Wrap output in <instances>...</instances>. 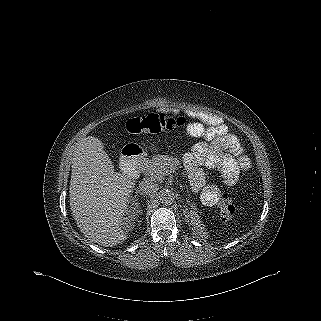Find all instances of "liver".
<instances>
[{"instance_id":"obj_1","label":"liver","mask_w":321,"mask_h":321,"mask_svg":"<svg viewBox=\"0 0 321 321\" xmlns=\"http://www.w3.org/2000/svg\"><path fill=\"white\" fill-rule=\"evenodd\" d=\"M136 181L114 172V165L97 137L78 143L69 188L72 216L90 241L104 247L122 243L128 236L125 215Z\"/></svg>"}]
</instances>
